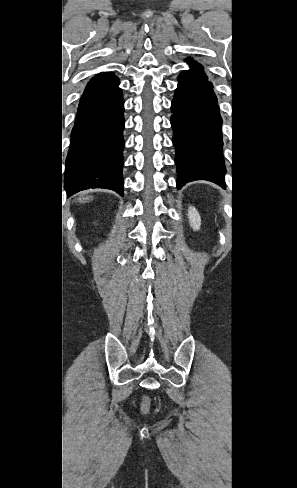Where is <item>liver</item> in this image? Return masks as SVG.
I'll return each mask as SVG.
<instances>
[{
  "label": "liver",
  "instance_id": "obj_1",
  "mask_svg": "<svg viewBox=\"0 0 297 488\" xmlns=\"http://www.w3.org/2000/svg\"><path fill=\"white\" fill-rule=\"evenodd\" d=\"M78 200L80 202H85V201L89 200V197H85V198L84 197L83 198L80 197Z\"/></svg>",
  "mask_w": 297,
  "mask_h": 488
}]
</instances>
